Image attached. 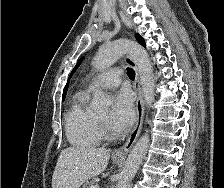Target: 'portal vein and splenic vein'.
<instances>
[{"label": "portal vein and splenic vein", "instance_id": "obj_1", "mask_svg": "<svg viewBox=\"0 0 224 188\" xmlns=\"http://www.w3.org/2000/svg\"><path fill=\"white\" fill-rule=\"evenodd\" d=\"M92 188H99V186H92Z\"/></svg>", "mask_w": 224, "mask_h": 188}]
</instances>
